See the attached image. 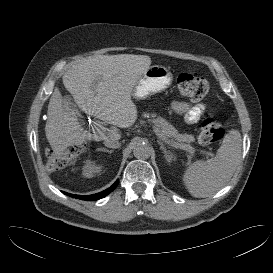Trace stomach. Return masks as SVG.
I'll return each mask as SVG.
<instances>
[{
  "label": "stomach",
  "instance_id": "0dacf381",
  "mask_svg": "<svg viewBox=\"0 0 273 273\" xmlns=\"http://www.w3.org/2000/svg\"><path fill=\"white\" fill-rule=\"evenodd\" d=\"M172 73L162 65L150 66L138 79L132 90L134 99L147 97L167 89L172 83Z\"/></svg>",
  "mask_w": 273,
  "mask_h": 273
}]
</instances>
